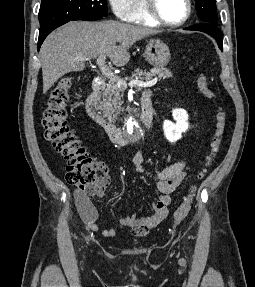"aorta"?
<instances>
[{
  "label": "aorta",
  "instance_id": "aorta-1",
  "mask_svg": "<svg viewBox=\"0 0 255 287\" xmlns=\"http://www.w3.org/2000/svg\"><path fill=\"white\" fill-rule=\"evenodd\" d=\"M126 126L128 138L130 140L134 141L140 137L142 131L140 125L138 124V121L134 118V116L129 117L126 122Z\"/></svg>",
  "mask_w": 255,
  "mask_h": 287
}]
</instances>
